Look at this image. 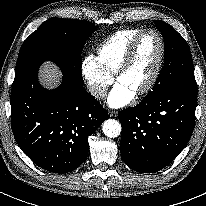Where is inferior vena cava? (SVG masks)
I'll return each mask as SVG.
<instances>
[{
  "instance_id": "obj_1",
  "label": "inferior vena cava",
  "mask_w": 206,
  "mask_h": 206,
  "mask_svg": "<svg viewBox=\"0 0 206 206\" xmlns=\"http://www.w3.org/2000/svg\"><path fill=\"white\" fill-rule=\"evenodd\" d=\"M89 92L96 98H104L107 94V89L106 87L94 85L89 87Z\"/></svg>"
}]
</instances>
